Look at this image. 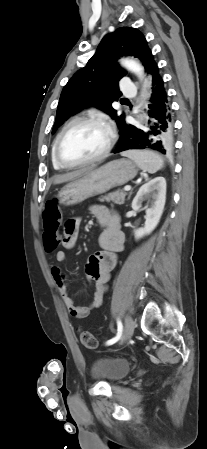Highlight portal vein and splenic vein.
<instances>
[{
	"instance_id": "1",
	"label": "portal vein and splenic vein",
	"mask_w": 207,
	"mask_h": 449,
	"mask_svg": "<svg viewBox=\"0 0 207 449\" xmlns=\"http://www.w3.org/2000/svg\"><path fill=\"white\" fill-rule=\"evenodd\" d=\"M124 190H125V191L131 190V186H129V185L125 186V187H124Z\"/></svg>"
}]
</instances>
